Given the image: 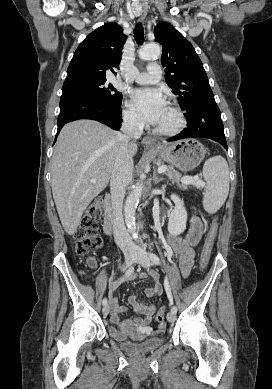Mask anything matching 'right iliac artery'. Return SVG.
<instances>
[{
    "mask_svg": "<svg viewBox=\"0 0 272 389\" xmlns=\"http://www.w3.org/2000/svg\"><path fill=\"white\" fill-rule=\"evenodd\" d=\"M133 273H134V267L129 268L126 271V273L124 274V276L121 278V281L129 280ZM102 304L103 305L107 304V299L106 298L103 299Z\"/></svg>",
    "mask_w": 272,
    "mask_h": 389,
    "instance_id": "82829eb1",
    "label": "right iliac artery"
}]
</instances>
